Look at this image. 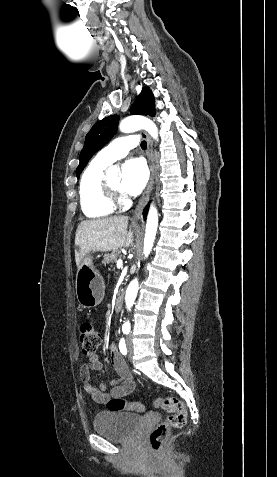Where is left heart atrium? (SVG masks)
Returning <instances> with one entry per match:
<instances>
[{
	"label": "left heart atrium",
	"mask_w": 277,
	"mask_h": 477,
	"mask_svg": "<svg viewBox=\"0 0 277 477\" xmlns=\"http://www.w3.org/2000/svg\"><path fill=\"white\" fill-rule=\"evenodd\" d=\"M148 170L143 160L130 159L122 166L121 190L128 195H137L145 187Z\"/></svg>",
	"instance_id": "1"
}]
</instances>
